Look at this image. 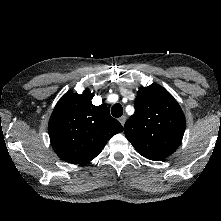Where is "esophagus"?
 <instances>
[{
    "mask_svg": "<svg viewBox=\"0 0 221 221\" xmlns=\"http://www.w3.org/2000/svg\"><path fill=\"white\" fill-rule=\"evenodd\" d=\"M118 120L121 123V125H124L126 120H127V117L126 116H121Z\"/></svg>",
    "mask_w": 221,
    "mask_h": 221,
    "instance_id": "34e87169",
    "label": "esophagus"
}]
</instances>
